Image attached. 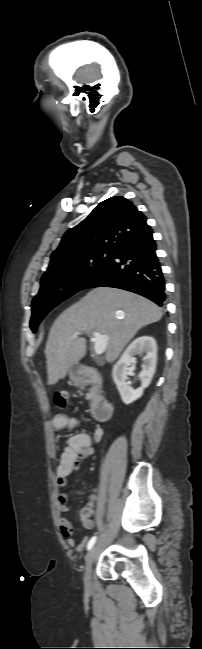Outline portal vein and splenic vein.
<instances>
[{"label": "portal vein and splenic vein", "instance_id": "obj_1", "mask_svg": "<svg viewBox=\"0 0 202 649\" xmlns=\"http://www.w3.org/2000/svg\"><path fill=\"white\" fill-rule=\"evenodd\" d=\"M80 333L77 332L75 333V336L79 335ZM94 342V351L96 354H102L105 349H106V337L99 332L94 331V338L92 339Z\"/></svg>", "mask_w": 202, "mask_h": 649}]
</instances>
